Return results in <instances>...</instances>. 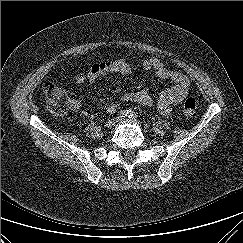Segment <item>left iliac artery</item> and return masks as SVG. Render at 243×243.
I'll return each instance as SVG.
<instances>
[{
	"label": "left iliac artery",
	"instance_id": "1",
	"mask_svg": "<svg viewBox=\"0 0 243 243\" xmlns=\"http://www.w3.org/2000/svg\"><path fill=\"white\" fill-rule=\"evenodd\" d=\"M128 117L135 120L137 119V114L134 111L129 110Z\"/></svg>",
	"mask_w": 243,
	"mask_h": 243
}]
</instances>
